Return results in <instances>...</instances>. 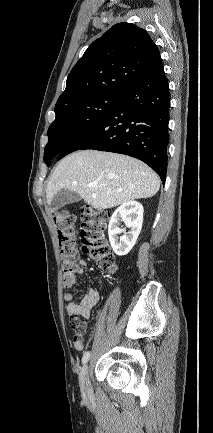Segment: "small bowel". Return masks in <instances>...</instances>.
Wrapping results in <instances>:
<instances>
[{
  "instance_id": "c3829d8e",
  "label": "small bowel",
  "mask_w": 213,
  "mask_h": 433,
  "mask_svg": "<svg viewBox=\"0 0 213 433\" xmlns=\"http://www.w3.org/2000/svg\"><path fill=\"white\" fill-rule=\"evenodd\" d=\"M83 263H77L76 268L74 271V277H78L82 274ZM99 302V293L97 290L88 288L81 299L80 302H76L73 299L69 298L68 304H67V313L71 317H80L84 320H88L91 316L92 309L98 304ZM86 327L83 324V331L80 334V336L75 335L74 339V345L75 348L78 351H82L84 349V335H85Z\"/></svg>"
}]
</instances>
